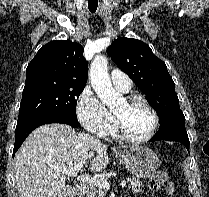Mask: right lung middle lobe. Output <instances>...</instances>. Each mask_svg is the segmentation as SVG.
<instances>
[{"label": "right lung middle lobe", "instance_id": "1", "mask_svg": "<svg viewBox=\"0 0 209 197\" xmlns=\"http://www.w3.org/2000/svg\"><path fill=\"white\" fill-rule=\"evenodd\" d=\"M85 85L48 80L25 83L17 123L48 114H59L77 119L76 99Z\"/></svg>", "mask_w": 209, "mask_h": 197}]
</instances>
